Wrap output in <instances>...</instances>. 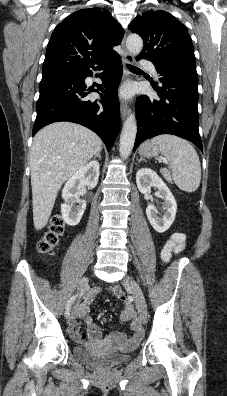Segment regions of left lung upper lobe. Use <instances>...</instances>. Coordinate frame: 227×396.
<instances>
[{
  "label": "left lung upper lobe",
  "mask_w": 227,
  "mask_h": 396,
  "mask_svg": "<svg viewBox=\"0 0 227 396\" xmlns=\"http://www.w3.org/2000/svg\"><path fill=\"white\" fill-rule=\"evenodd\" d=\"M129 29L144 41L139 58L148 59L156 66L197 75L191 38L187 28L173 15L163 10H150L138 15Z\"/></svg>",
  "instance_id": "left-lung-upper-lobe-1"
}]
</instances>
